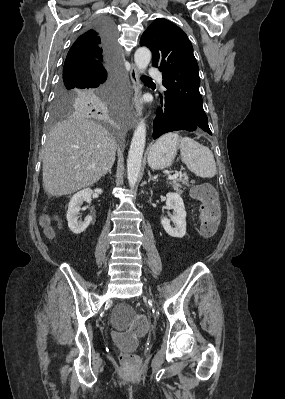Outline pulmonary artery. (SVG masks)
<instances>
[{
	"label": "pulmonary artery",
	"instance_id": "1",
	"mask_svg": "<svg viewBox=\"0 0 285 399\" xmlns=\"http://www.w3.org/2000/svg\"><path fill=\"white\" fill-rule=\"evenodd\" d=\"M148 76L151 78L157 79L159 81L162 80V74L158 70H155V69H150L148 72Z\"/></svg>",
	"mask_w": 285,
	"mask_h": 399
}]
</instances>
